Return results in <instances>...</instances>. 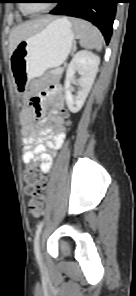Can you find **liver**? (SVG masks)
<instances>
[{
    "mask_svg": "<svg viewBox=\"0 0 136 296\" xmlns=\"http://www.w3.org/2000/svg\"><path fill=\"white\" fill-rule=\"evenodd\" d=\"M51 20V17H42L39 19L27 21L14 28L9 36L10 53L12 54L20 41L44 28Z\"/></svg>",
    "mask_w": 136,
    "mask_h": 296,
    "instance_id": "liver-1",
    "label": "liver"
}]
</instances>
